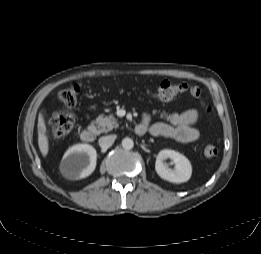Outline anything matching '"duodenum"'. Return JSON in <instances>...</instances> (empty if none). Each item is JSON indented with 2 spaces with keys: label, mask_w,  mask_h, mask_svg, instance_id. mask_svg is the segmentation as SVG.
Listing matches in <instances>:
<instances>
[{
  "label": "duodenum",
  "mask_w": 261,
  "mask_h": 254,
  "mask_svg": "<svg viewBox=\"0 0 261 254\" xmlns=\"http://www.w3.org/2000/svg\"><path fill=\"white\" fill-rule=\"evenodd\" d=\"M136 133L142 134V126H140V125L136 126ZM80 137L84 142L88 143V142L94 141L96 134H95V131L93 129L86 128V129L82 130Z\"/></svg>",
  "instance_id": "410a0bca"
}]
</instances>
